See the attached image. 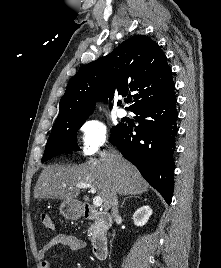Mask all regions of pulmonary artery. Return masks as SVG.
Masks as SVG:
<instances>
[{
	"mask_svg": "<svg viewBox=\"0 0 221 268\" xmlns=\"http://www.w3.org/2000/svg\"><path fill=\"white\" fill-rule=\"evenodd\" d=\"M117 115H118V117H120V118H124V117H126L127 116V112L124 110V109H119L118 111H117Z\"/></svg>",
	"mask_w": 221,
	"mask_h": 268,
	"instance_id": "pulmonary-artery-1",
	"label": "pulmonary artery"
}]
</instances>
